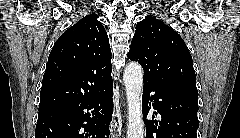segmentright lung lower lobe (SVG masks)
<instances>
[{"label": "right lung lower lobe", "instance_id": "98d812e1", "mask_svg": "<svg viewBox=\"0 0 240 138\" xmlns=\"http://www.w3.org/2000/svg\"><path fill=\"white\" fill-rule=\"evenodd\" d=\"M112 87L111 79L85 97L39 111L35 138H109Z\"/></svg>", "mask_w": 240, "mask_h": 138}]
</instances>
